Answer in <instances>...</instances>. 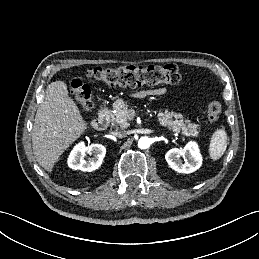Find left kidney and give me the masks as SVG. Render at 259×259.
<instances>
[{
    "label": "left kidney",
    "mask_w": 259,
    "mask_h": 259,
    "mask_svg": "<svg viewBox=\"0 0 259 259\" xmlns=\"http://www.w3.org/2000/svg\"><path fill=\"white\" fill-rule=\"evenodd\" d=\"M165 159L168 165L178 173H192L202 165V156L194 141L188 142L184 148L170 149L166 153Z\"/></svg>",
    "instance_id": "1"
}]
</instances>
